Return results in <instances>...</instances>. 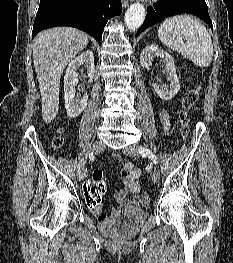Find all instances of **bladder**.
I'll use <instances>...</instances> for the list:
<instances>
[{
    "instance_id": "bladder-1",
    "label": "bladder",
    "mask_w": 233,
    "mask_h": 263,
    "mask_svg": "<svg viewBox=\"0 0 233 263\" xmlns=\"http://www.w3.org/2000/svg\"><path fill=\"white\" fill-rule=\"evenodd\" d=\"M148 213L139 208L116 210L111 216L100 221L99 229L103 235L116 238H129L134 236Z\"/></svg>"
}]
</instances>
